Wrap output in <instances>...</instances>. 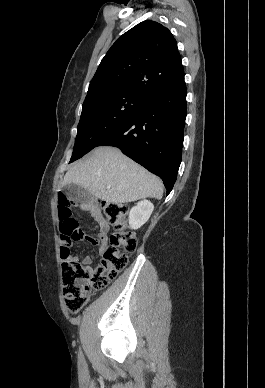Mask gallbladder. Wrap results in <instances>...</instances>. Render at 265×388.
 Listing matches in <instances>:
<instances>
[{
    "mask_svg": "<svg viewBox=\"0 0 265 388\" xmlns=\"http://www.w3.org/2000/svg\"><path fill=\"white\" fill-rule=\"evenodd\" d=\"M63 192L66 194L67 198H69L71 202H74V204H77V206H79V204H86V202L92 198L90 192H87L82 186H77V184H67V186H64Z\"/></svg>",
    "mask_w": 265,
    "mask_h": 388,
    "instance_id": "gallbladder-1",
    "label": "gallbladder"
}]
</instances>
